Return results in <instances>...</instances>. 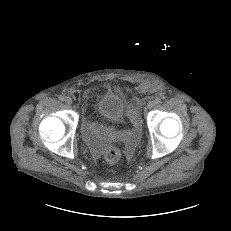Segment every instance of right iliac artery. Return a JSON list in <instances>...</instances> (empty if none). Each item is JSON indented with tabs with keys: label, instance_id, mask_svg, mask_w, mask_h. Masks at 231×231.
<instances>
[{
	"label": "right iliac artery",
	"instance_id": "1",
	"mask_svg": "<svg viewBox=\"0 0 231 231\" xmlns=\"http://www.w3.org/2000/svg\"><path fill=\"white\" fill-rule=\"evenodd\" d=\"M59 100L65 101V97L61 95V96L59 97Z\"/></svg>",
	"mask_w": 231,
	"mask_h": 231
}]
</instances>
